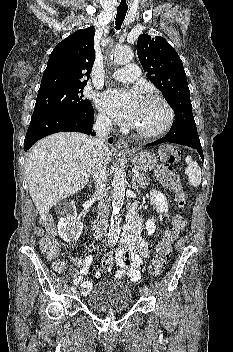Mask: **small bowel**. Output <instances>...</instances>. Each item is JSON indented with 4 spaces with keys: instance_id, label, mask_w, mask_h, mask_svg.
Returning <instances> with one entry per match:
<instances>
[{
    "instance_id": "small-bowel-1",
    "label": "small bowel",
    "mask_w": 233,
    "mask_h": 352,
    "mask_svg": "<svg viewBox=\"0 0 233 352\" xmlns=\"http://www.w3.org/2000/svg\"><path fill=\"white\" fill-rule=\"evenodd\" d=\"M151 200L157 211L167 215L168 203L165 195L157 190L151 192ZM143 221L136 214H131L125 225L124 233L121 236V245L115 252V264L118 268L115 277L128 276L132 282L141 279V265L144 259L150 257L148 241L142 236ZM90 255L83 259L75 260L79 270L73 274L74 284L81 288L83 295H87L92 289V283L85 279L91 266Z\"/></svg>"
}]
</instances>
